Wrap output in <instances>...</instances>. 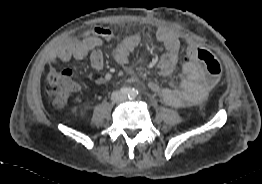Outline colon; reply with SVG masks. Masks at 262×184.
Listing matches in <instances>:
<instances>
[{
	"label": "colon",
	"mask_w": 262,
	"mask_h": 184,
	"mask_svg": "<svg viewBox=\"0 0 262 184\" xmlns=\"http://www.w3.org/2000/svg\"><path fill=\"white\" fill-rule=\"evenodd\" d=\"M195 56L202 64L206 81L209 86L216 85L222 76V66L215 55L204 47L195 48ZM77 84L74 74L69 69L51 72L47 77V91L55 107H63L71 94L76 90Z\"/></svg>",
	"instance_id": "colon-1"
}]
</instances>
